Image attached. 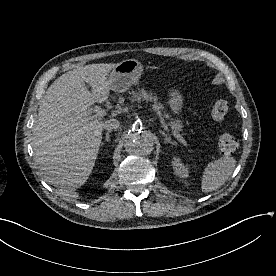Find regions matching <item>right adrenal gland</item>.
Instances as JSON below:
<instances>
[{
    "label": "right adrenal gland",
    "mask_w": 276,
    "mask_h": 276,
    "mask_svg": "<svg viewBox=\"0 0 276 276\" xmlns=\"http://www.w3.org/2000/svg\"><path fill=\"white\" fill-rule=\"evenodd\" d=\"M110 133H111V131H108L107 133H106V136H105V139H104V141H102L101 142V146L105 143V142H110Z\"/></svg>",
    "instance_id": "right-adrenal-gland-1"
}]
</instances>
